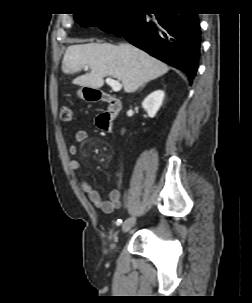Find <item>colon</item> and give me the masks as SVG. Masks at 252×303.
<instances>
[{
    "mask_svg": "<svg viewBox=\"0 0 252 303\" xmlns=\"http://www.w3.org/2000/svg\"><path fill=\"white\" fill-rule=\"evenodd\" d=\"M60 118L64 122H71L74 118L73 109L70 105H63L60 109Z\"/></svg>",
    "mask_w": 252,
    "mask_h": 303,
    "instance_id": "1",
    "label": "colon"
}]
</instances>
